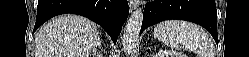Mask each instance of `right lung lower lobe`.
I'll list each match as a JSON object with an SVG mask.
<instances>
[{"instance_id": "right-lung-lower-lobe-1", "label": "right lung lower lobe", "mask_w": 249, "mask_h": 57, "mask_svg": "<svg viewBox=\"0 0 249 57\" xmlns=\"http://www.w3.org/2000/svg\"><path fill=\"white\" fill-rule=\"evenodd\" d=\"M73 13L99 24L116 44L129 14L127 0H39L34 31L50 18Z\"/></svg>"}]
</instances>
